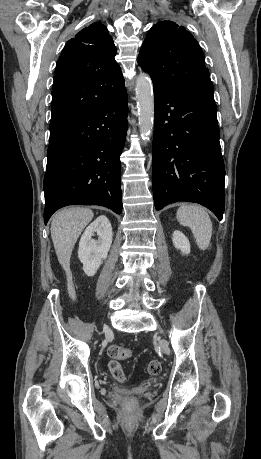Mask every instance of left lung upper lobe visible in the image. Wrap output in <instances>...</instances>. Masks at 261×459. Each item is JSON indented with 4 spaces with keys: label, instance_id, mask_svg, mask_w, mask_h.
I'll list each match as a JSON object with an SVG mask.
<instances>
[{
    "label": "left lung upper lobe",
    "instance_id": "left-lung-upper-lobe-1",
    "mask_svg": "<svg viewBox=\"0 0 261 459\" xmlns=\"http://www.w3.org/2000/svg\"><path fill=\"white\" fill-rule=\"evenodd\" d=\"M138 64L150 74L155 86L214 99V87L198 42L172 21L158 22L149 30Z\"/></svg>",
    "mask_w": 261,
    "mask_h": 459
}]
</instances>
